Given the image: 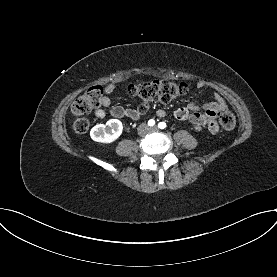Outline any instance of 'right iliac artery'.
Here are the masks:
<instances>
[{
    "instance_id": "right-iliac-artery-1",
    "label": "right iliac artery",
    "mask_w": 277,
    "mask_h": 277,
    "mask_svg": "<svg viewBox=\"0 0 277 277\" xmlns=\"http://www.w3.org/2000/svg\"><path fill=\"white\" fill-rule=\"evenodd\" d=\"M155 124V121L153 119L149 120L148 121V125L149 126H153Z\"/></svg>"
}]
</instances>
